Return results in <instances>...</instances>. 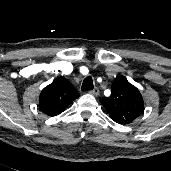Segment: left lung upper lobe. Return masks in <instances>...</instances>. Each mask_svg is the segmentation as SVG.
I'll use <instances>...</instances> for the list:
<instances>
[{
	"instance_id": "obj_1",
	"label": "left lung upper lobe",
	"mask_w": 171,
	"mask_h": 171,
	"mask_svg": "<svg viewBox=\"0 0 171 171\" xmlns=\"http://www.w3.org/2000/svg\"><path fill=\"white\" fill-rule=\"evenodd\" d=\"M111 91V96L101 98L100 102L113 121L119 124H129L143 113L142 95L125 77L118 76L112 84Z\"/></svg>"
}]
</instances>
